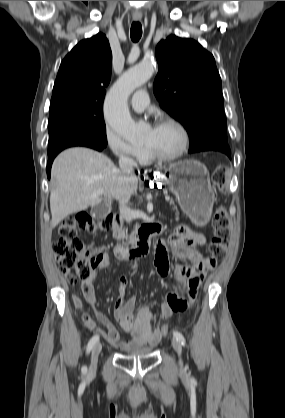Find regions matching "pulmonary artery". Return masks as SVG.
<instances>
[{
    "label": "pulmonary artery",
    "mask_w": 285,
    "mask_h": 418,
    "mask_svg": "<svg viewBox=\"0 0 285 418\" xmlns=\"http://www.w3.org/2000/svg\"><path fill=\"white\" fill-rule=\"evenodd\" d=\"M148 96L145 91L136 92L131 98V106L135 111H142L148 106Z\"/></svg>",
    "instance_id": "pulmonary-artery-1"
}]
</instances>
